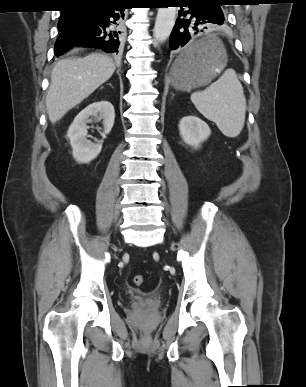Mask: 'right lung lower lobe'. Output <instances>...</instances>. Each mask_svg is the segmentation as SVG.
<instances>
[{
  "mask_svg": "<svg viewBox=\"0 0 306 387\" xmlns=\"http://www.w3.org/2000/svg\"><path fill=\"white\" fill-rule=\"evenodd\" d=\"M126 3L111 1L100 6L77 8L81 20L61 29L55 43V55L60 56L73 45L99 48L107 53H118L122 45L121 22Z\"/></svg>",
  "mask_w": 306,
  "mask_h": 387,
  "instance_id": "1",
  "label": "right lung lower lobe"
}]
</instances>
